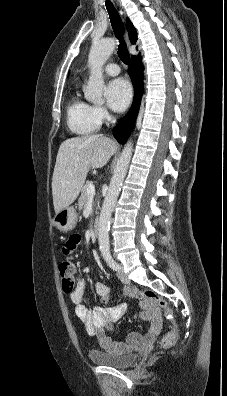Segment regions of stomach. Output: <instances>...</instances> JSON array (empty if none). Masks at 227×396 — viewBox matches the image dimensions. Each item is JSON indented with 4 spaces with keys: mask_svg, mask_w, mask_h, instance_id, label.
I'll list each match as a JSON object with an SVG mask.
<instances>
[{
    "mask_svg": "<svg viewBox=\"0 0 227 396\" xmlns=\"http://www.w3.org/2000/svg\"><path fill=\"white\" fill-rule=\"evenodd\" d=\"M77 214L74 207H66L56 213L53 225L62 232H68L75 227Z\"/></svg>",
    "mask_w": 227,
    "mask_h": 396,
    "instance_id": "1",
    "label": "stomach"
}]
</instances>
